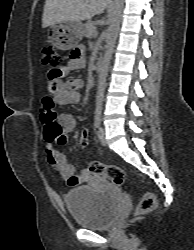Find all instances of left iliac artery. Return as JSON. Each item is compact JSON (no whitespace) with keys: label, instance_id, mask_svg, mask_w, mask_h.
Listing matches in <instances>:
<instances>
[{"label":"left iliac artery","instance_id":"1","mask_svg":"<svg viewBox=\"0 0 194 250\" xmlns=\"http://www.w3.org/2000/svg\"><path fill=\"white\" fill-rule=\"evenodd\" d=\"M101 121H102V115L100 112H97L95 114V118H94V124H95V127L98 128L101 124Z\"/></svg>","mask_w":194,"mask_h":250}]
</instances>
